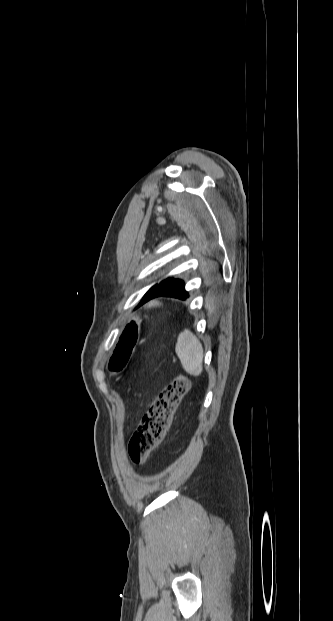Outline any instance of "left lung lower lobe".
<instances>
[{
    "label": "left lung lower lobe",
    "instance_id": "left-lung-lower-lobe-1",
    "mask_svg": "<svg viewBox=\"0 0 333 621\" xmlns=\"http://www.w3.org/2000/svg\"><path fill=\"white\" fill-rule=\"evenodd\" d=\"M185 284L180 279H174L162 288H160L153 296L152 299L159 297H173L180 300H186L189 297L187 291H185Z\"/></svg>",
    "mask_w": 333,
    "mask_h": 621
}]
</instances>
